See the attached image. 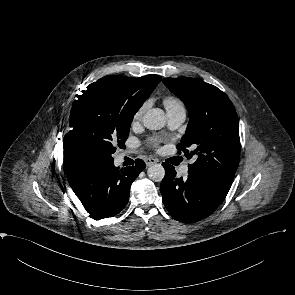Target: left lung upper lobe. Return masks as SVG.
Here are the masks:
<instances>
[{"label": "left lung upper lobe", "instance_id": "left-lung-upper-lobe-1", "mask_svg": "<svg viewBox=\"0 0 295 295\" xmlns=\"http://www.w3.org/2000/svg\"><path fill=\"white\" fill-rule=\"evenodd\" d=\"M163 83L189 112L186 133L177 145L179 154L182 151L187 158L197 156L188 166V173L227 195L240 157L238 117L233 104L220 89L197 78H164Z\"/></svg>", "mask_w": 295, "mask_h": 295}]
</instances>
